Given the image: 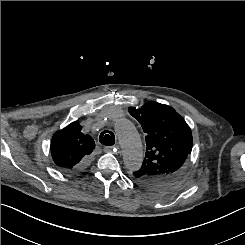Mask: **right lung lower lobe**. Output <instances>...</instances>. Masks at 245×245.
Segmentation results:
<instances>
[{
    "label": "right lung lower lobe",
    "mask_w": 245,
    "mask_h": 245,
    "mask_svg": "<svg viewBox=\"0 0 245 245\" xmlns=\"http://www.w3.org/2000/svg\"><path fill=\"white\" fill-rule=\"evenodd\" d=\"M89 164V158L85 159L83 162H81L78 166H76L74 169L67 171L69 173H77L82 170H84Z\"/></svg>",
    "instance_id": "obj_1"
}]
</instances>
